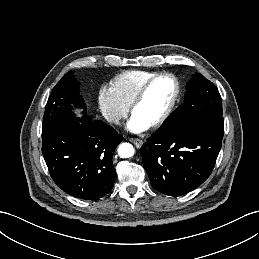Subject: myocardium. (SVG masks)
Instances as JSON below:
<instances>
[{
	"label": "myocardium",
	"mask_w": 259,
	"mask_h": 259,
	"mask_svg": "<svg viewBox=\"0 0 259 259\" xmlns=\"http://www.w3.org/2000/svg\"><path fill=\"white\" fill-rule=\"evenodd\" d=\"M160 78H169L172 80L173 84H174V94L173 97L169 103V105L167 106L166 110L164 111V113L155 121L153 122L150 127L152 128H156L161 126L171 115L172 111L174 110V107L177 103V100L179 98V94H180V84L179 81L177 79V77L175 75H173L172 73H168V72H162V73H157L154 76H152L151 78H149L139 89V91L136 93L131 105H130V110L132 113H134V110L136 108V106L143 100V98L145 97L149 87L158 79Z\"/></svg>",
	"instance_id": "f54148a6"
}]
</instances>
